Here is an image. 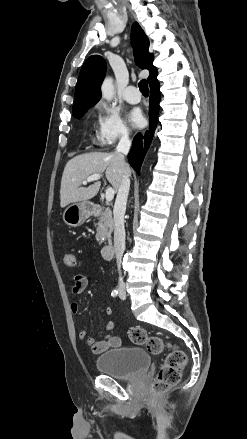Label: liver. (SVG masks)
<instances>
[{"instance_id":"liver-1","label":"liver","mask_w":247,"mask_h":439,"mask_svg":"<svg viewBox=\"0 0 247 439\" xmlns=\"http://www.w3.org/2000/svg\"><path fill=\"white\" fill-rule=\"evenodd\" d=\"M105 172L107 180L117 191L121 184L123 173L130 176L131 170L127 164L123 168L115 152L113 153H86L70 159L63 171L60 188V206L66 207L71 203L85 202L93 198L99 191V181L81 187V183L93 174Z\"/></svg>"}]
</instances>
